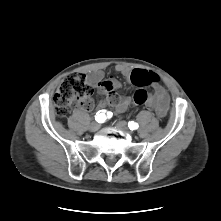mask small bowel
<instances>
[{"label":"small bowel","instance_id":"c3829d8e","mask_svg":"<svg viewBox=\"0 0 221 221\" xmlns=\"http://www.w3.org/2000/svg\"><path fill=\"white\" fill-rule=\"evenodd\" d=\"M135 70L150 73L142 69ZM116 71L131 79V74L134 70H131L130 68L123 65H118L116 67ZM88 81L90 85L99 88L106 95L105 98L102 99L99 103L100 109L114 107L117 112L122 113L126 111L131 105L132 100L130 97L120 96L115 92V90L121 86L120 82L114 78L104 80V73L102 71L94 70L91 72L88 76ZM148 85L152 86L153 91L145 104L147 107L155 111L159 117L163 118L168 113L170 104L169 94L166 89L159 84L149 83L145 84L144 86Z\"/></svg>","mask_w":221,"mask_h":221}]
</instances>
